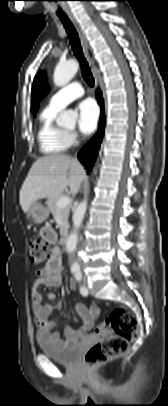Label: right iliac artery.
I'll use <instances>...</instances> for the list:
<instances>
[{"mask_svg": "<svg viewBox=\"0 0 168 406\" xmlns=\"http://www.w3.org/2000/svg\"><path fill=\"white\" fill-rule=\"evenodd\" d=\"M78 268H72V272H77Z\"/></svg>", "mask_w": 168, "mask_h": 406, "instance_id": "1", "label": "right iliac artery"}]
</instances>
